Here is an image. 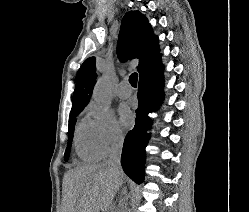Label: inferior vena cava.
Wrapping results in <instances>:
<instances>
[{
	"label": "inferior vena cava",
	"mask_w": 249,
	"mask_h": 212,
	"mask_svg": "<svg viewBox=\"0 0 249 212\" xmlns=\"http://www.w3.org/2000/svg\"><path fill=\"white\" fill-rule=\"evenodd\" d=\"M124 138H119V140H114L113 144H111L110 152L108 154L107 164L108 166H113V168H117V170H121V154L123 148ZM120 186L124 184L123 180H119ZM124 198H121L120 202H118V212H131V210H127L128 204L127 202V194L125 192H121Z\"/></svg>",
	"instance_id": "602c4592"
}]
</instances>
